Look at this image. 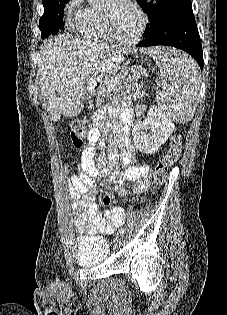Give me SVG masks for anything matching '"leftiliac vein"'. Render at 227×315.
Returning a JSON list of instances; mask_svg holds the SVG:
<instances>
[{
  "label": "left iliac vein",
  "mask_w": 227,
  "mask_h": 315,
  "mask_svg": "<svg viewBox=\"0 0 227 315\" xmlns=\"http://www.w3.org/2000/svg\"><path fill=\"white\" fill-rule=\"evenodd\" d=\"M120 244V237L119 236H117V237H115V239H114V245H119Z\"/></svg>",
  "instance_id": "left-iliac-vein-1"
}]
</instances>
